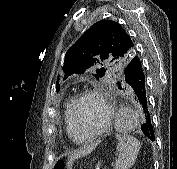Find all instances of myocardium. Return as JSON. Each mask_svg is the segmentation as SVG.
Returning a JSON list of instances; mask_svg holds the SVG:
<instances>
[{"mask_svg":"<svg viewBox=\"0 0 177 169\" xmlns=\"http://www.w3.org/2000/svg\"><path fill=\"white\" fill-rule=\"evenodd\" d=\"M88 97H95L100 101V103L103 106L104 111H105V119H104L103 124L100 126V128L98 130H96L95 132H93L89 135L79 136L78 130H77V123H76L77 110H78V106L82 102V100L85 98H88ZM112 118H113V111L110 106V103H109L108 99L106 98V96L101 91L94 89V88H86L76 94V96L73 100L72 106H71L70 120H71L72 129H73L78 141L82 142V141L91 140V139L99 137L102 134H104L105 132H107L108 129L110 128Z\"/></svg>","mask_w":177,"mask_h":169,"instance_id":"myocardium-1","label":"myocardium"}]
</instances>
